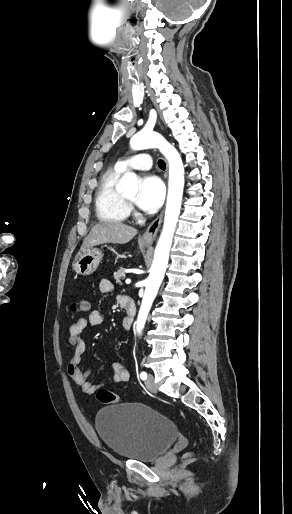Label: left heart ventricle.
Masks as SVG:
<instances>
[{"instance_id": "left-heart-ventricle-1", "label": "left heart ventricle", "mask_w": 292, "mask_h": 514, "mask_svg": "<svg viewBox=\"0 0 292 514\" xmlns=\"http://www.w3.org/2000/svg\"><path fill=\"white\" fill-rule=\"evenodd\" d=\"M128 200L133 201L135 200L136 193L135 192H126L122 193Z\"/></svg>"}]
</instances>
